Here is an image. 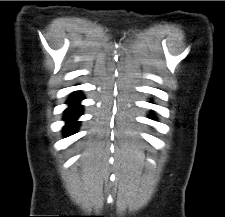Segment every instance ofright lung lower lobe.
<instances>
[{"label":"right lung lower lobe","instance_id":"obj_1","mask_svg":"<svg viewBox=\"0 0 225 217\" xmlns=\"http://www.w3.org/2000/svg\"><path fill=\"white\" fill-rule=\"evenodd\" d=\"M82 99L83 96L77 91L73 93L67 101L69 107L65 110L64 114V120L67 122L64 131L67 135L72 134L79 125V122L76 120L82 114V106L79 104Z\"/></svg>","mask_w":225,"mask_h":217}]
</instances>
